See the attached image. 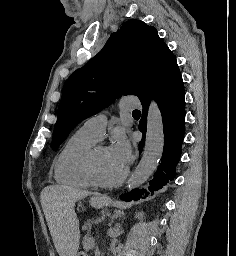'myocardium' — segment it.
Listing matches in <instances>:
<instances>
[{"instance_id": "obj_1", "label": "myocardium", "mask_w": 236, "mask_h": 256, "mask_svg": "<svg viewBox=\"0 0 236 256\" xmlns=\"http://www.w3.org/2000/svg\"><path fill=\"white\" fill-rule=\"evenodd\" d=\"M95 151L91 152L89 157L90 173H91V178L93 183L96 186L104 189H111V188L119 187L120 185H122L128 175L127 169H123L121 174L116 178H113V179L103 178L102 175L100 174V171L95 161V157H94Z\"/></svg>"}]
</instances>
